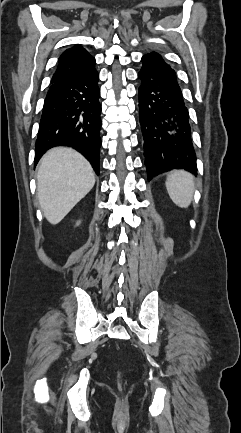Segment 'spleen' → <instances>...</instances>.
<instances>
[{
	"instance_id": "spleen-1",
	"label": "spleen",
	"mask_w": 241,
	"mask_h": 433,
	"mask_svg": "<svg viewBox=\"0 0 241 433\" xmlns=\"http://www.w3.org/2000/svg\"><path fill=\"white\" fill-rule=\"evenodd\" d=\"M194 178L184 170H173L167 177L166 189L171 200L180 208H188L193 199Z\"/></svg>"
}]
</instances>
